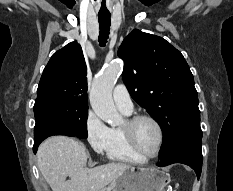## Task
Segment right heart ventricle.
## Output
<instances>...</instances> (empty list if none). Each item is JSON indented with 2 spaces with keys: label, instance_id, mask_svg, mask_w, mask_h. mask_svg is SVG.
<instances>
[{
  "label": "right heart ventricle",
  "instance_id": "right-heart-ventricle-1",
  "mask_svg": "<svg viewBox=\"0 0 233 191\" xmlns=\"http://www.w3.org/2000/svg\"><path fill=\"white\" fill-rule=\"evenodd\" d=\"M126 114V113H125ZM128 115V114H126ZM107 158L110 161L139 164L145 162L128 145L122 128H110V144L106 151Z\"/></svg>",
  "mask_w": 233,
  "mask_h": 191
}]
</instances>
